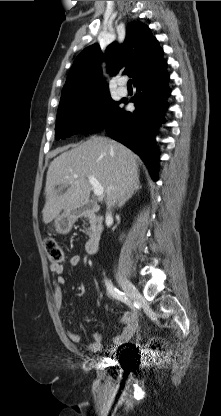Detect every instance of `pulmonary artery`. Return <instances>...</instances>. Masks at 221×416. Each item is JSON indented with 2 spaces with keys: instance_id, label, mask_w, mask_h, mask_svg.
Returning a JSON list of instances; mask_svg holds the SVG:
<instances>
[{
  "instance_id": "e3ab8cb5",
  "label": "pulmonary artery",
  "mask_w": 221,
  "mask_h": 416,
  "mask_svg": "<svg viewBox=\"0 0 221 416\" xmlns=\"http://www.w3.org/2000/svg\"><path fill=\"white\" fill-rule=\"evenodd\" d=\"M117 91L121 96L127 95V88L124 87L122 84L119 85Z\"/></svg>"
}]
</instances>
